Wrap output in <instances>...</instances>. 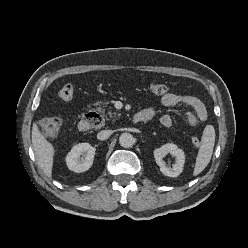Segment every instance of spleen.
<instances>
[{"label": "spleen", "instance_id": "spleen-1", "mask_svg": "<svg viewBox=\"0 0 248 248\" xmlns=\"http://www.w3.org/2000/svg\"><path fill=\"white\" fill-rule=\"evenodd\" d=\"M215 143V130L213 126H207L203 132L201 146L199 148L193 175L200 174L209 164Z\"/></svg>", "mask_w": 248, "mask_h": 248}]
</instances>
